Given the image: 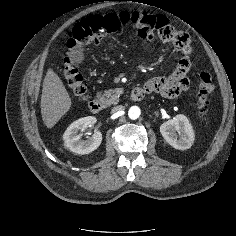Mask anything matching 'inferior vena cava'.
Returning <instances> with one entry per match:
<instances>
[{"mask_svg": "<svg viewBox=\"0 0 236 236\" xmlns=\"http://www.w3.org/2000/svg\"><path fill=\"white\" fill-rule=\"evenodd\" d=\"M123 109H124V106L119 105V106L113 107L112 110H111V112H112V113H115V112L121 111V110H123Z\"/></svg>", "mask_w": 236, "mask_h": 236, "instance_id": "1", "label": "inferior vena cava"}]
</instances>
